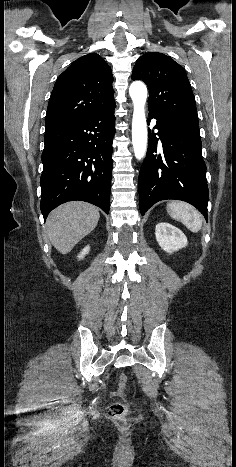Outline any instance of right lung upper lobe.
<instances>
[{
	"instance_id": "obj_1",
	"label": "right lung upper lobe",
	"mask_w": 236,
	"mask_h": 467,
	"mask_svg": "<svg viewBox=\"0 0 236 467\" xmlns=\"http://www.w3.org/2000/svg\"><path fill=\"white\" fill-rule=\"evenodd\" d=\"M113 75L96 53L74 61L57 79L49 99L45 133L81 122L115 104Z\"/></svg>"
}]
</instances>
